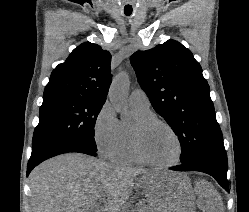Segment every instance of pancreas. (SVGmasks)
Returning a JSON list of instances; mask_svg holds the SVG:
<instances>
[{
  "mask_svg": "<svg viewBox=\"0 0 249 212\" xmlns=\"http://www.w3.org/2000/svg\"><path fill=\"white\" fill-rule=\"evenodd\" d=\"M137 212H150L149 206H146L145 202H141L140 206L137 208Z\"/></svg>",
  "mask_w": 249,
  "mask_h": 212,
  "instance_id": "cf45deb5",
  "label": "pancreas"
}]
</instances>
